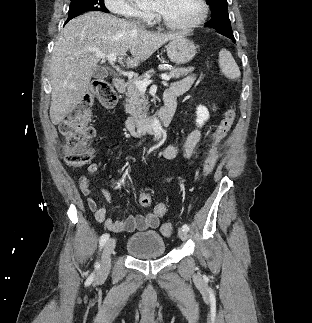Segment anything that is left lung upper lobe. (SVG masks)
<instances>
[{
	"instance_id": "1",
	"label": "left lung upper lobe",
	"mask_w": 312,
	"mask_h": 323,
	"mask_svg": "<svg viewBox=\"0 0 312 323\" xmlns=\"http://www.w3.org/2000/svg\"><path fill=\"white\" fill-rule=\"evenodd\" d=\"M212 10V18L206 27L215 29L218 33L233 35L227 8V0H206Z\"/></svg>"
}]
</instances>
